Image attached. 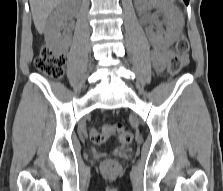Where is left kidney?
<instances>
[{
	"instance_id": "obj_1",
	"label": "left kidney",
	"mask_w": 223,
	"mask_h": 191,
	"mask_svg": "<svg viewBox=\"0 0 223 191\" xmlns=\"http://www.w3.org/2000/svg\"><path fill=\"white\" fill-rule=\"evenodd\" d=\"M136 7L140 11L153 7L159 9L166 22V28L159 27L156 31L149 27L147 30L150 41L154 45L168 47L174 43L183 26L180 11L166 0H136Z\"/></svg>"
}]
</instances>
